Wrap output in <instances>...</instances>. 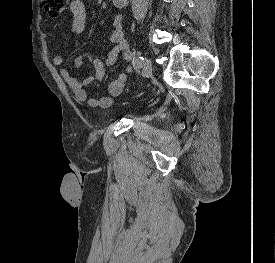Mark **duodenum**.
<instances>
[{
    "label": "duodenum",
    "instance_id": "410a0bca",
    "mask_svg": "<svg viewBox=\"0 0 275 263\" xmlns=\"http://www.w3.org/2000/svg\"><path fill=\"white\" fill-rule=\"evenodd\" d=\"M113 5L116 7H124L128 0H111Z\"/></svg>",
    "mask_w": 275,
    "mask_h": 263
}]
</instances>
